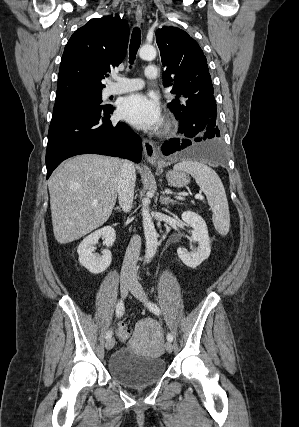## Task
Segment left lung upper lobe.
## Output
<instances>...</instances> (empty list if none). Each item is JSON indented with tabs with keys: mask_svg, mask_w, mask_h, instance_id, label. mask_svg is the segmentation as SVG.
<instances>
[{
	"mask_svg": "<svg viewBox=\"0 0 299 427\" xmlns=\"http://www.w3.org/2000/svg\"><path fill=\"white\" fill-rule=\"evenodd\" d=\"M164 72V86H172L175 99L169 103L175 118L184 106H208L213 114L214 128L220 133L216 121V101L208 72L206 57L199 44L185 31L163 26L156 31Z\"/></svg>",
	"mask_w": 299,
	"mask_h": 427,
	"instance_id": "left-lung-upper-lobe-1",
	"label": "left lung upper lobe"
}]
</instances>
